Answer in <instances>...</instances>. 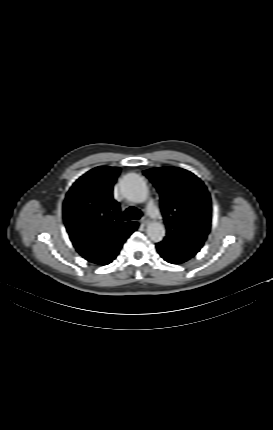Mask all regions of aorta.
Segmentation results:
<instances>
[{
  "label": "aorta",
  "instance_id": "aorta-1",
  "mask_svg": "<svg viewBox=\"0 0 273 430\" xmlns=\"http://www.w3.org/2000/svg\"><path fill=\"white\" fill-rule=\"evenodd\" d=\"M122 192L131 202L143 203L148 198V188L145 181L135 173H129L122 179ZM147 235L151 241L157 243L165 236L164 225L160 222H151L147 229Z\"/></svg>",
  "mask_w": 273,
  "mask_h": 430
}]
</instances>
